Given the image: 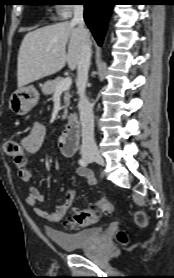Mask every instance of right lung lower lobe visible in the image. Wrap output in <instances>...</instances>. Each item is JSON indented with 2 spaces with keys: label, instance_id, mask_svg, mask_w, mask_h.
<instances>
[{
  "label": "right lung lower lobe",
  "instance_id": "1",
  "mask_svg": "<svg viewBox=\"0 0 174 278\" xmlns=\"http://www.w3.org/2000/svg\"><path fill=\"white\" fill-rule=\"evenodd\" d=\"M85 7L84 19L97 43L102 44L106 32V24L109 19L114 0H82Z\"/></svg>",
  "mask_w": 174,
  "mask_h": 278
}]
</instances>
